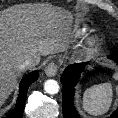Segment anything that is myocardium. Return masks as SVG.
<instances>
[{
  "label": "myocardium",
  "mask_w": 118,
  "mask_h": 118,
  "mask_svg": "<svg viewBox=\"0 0 118 118\" xmlns=\"http://www.w3.org/2000/svg\"><path fill=\"white\" fill-rule=\"evenodd\" d=\"M89 44H90L91 48H93L95 46V42L94 41H91Z\"/></svg>",
  "instance_id": "1"
}]
</instances>
